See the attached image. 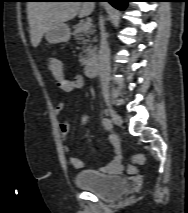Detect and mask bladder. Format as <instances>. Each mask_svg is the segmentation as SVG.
Instances as JSON below:
<instances>
[{"mask_svg": "<svg viewBox=\"0 0 188 213\" xmlns=\"http://www.w3.org/2000/svg\"><path fill=\"white\" fill-rule=\"evenodd\" d=\"M77 187L98 195L103 200H114L127 190L128 181L120 176L106 175L96 170L78 172L74 177Z\"/></svg>", "mask_w": 188, "mask_h": 213, "instance_id": "bladder-1", "label": "bladder"}]
</instances>
